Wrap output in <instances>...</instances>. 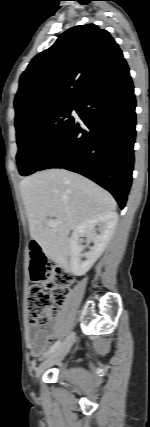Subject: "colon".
Wrapping results in <instances>:
<instances>
[{"mask_svg":"<svg viewBox=\"0 0 150 427\" xmlns=\"http://www.w3.org/2000/svg\"><path fill=\"white\" fill-rule=\"evenodd\" d=\"M29 256L30 276L34 284L28 290V320L34 325H45L57 316L74 279L64 267L49 260L36 241L30 243ZM38 283H45L47 289Z\"/></svg>","mask_w":150,"mask_h":427,"instance_id":"obj_1","label":"colon"}]
</instances>
